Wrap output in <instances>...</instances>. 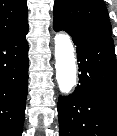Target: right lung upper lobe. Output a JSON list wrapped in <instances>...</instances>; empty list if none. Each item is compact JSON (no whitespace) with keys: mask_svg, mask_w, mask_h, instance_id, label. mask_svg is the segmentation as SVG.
<instances>
[{"mask_svg":"<svg viewBox=\"0 0 117 136\" xmlns=\"http://www.w3.org/2000/svg\"><path fill=\"white\" fill-rule=\"evenodd\" d=\"M27 0H0V39L28 26Z\"/></svg>","mask_w":117,"mask_h":136,"instance_id":"obj_1","label":"right lung upper lobe"}]
</instances>
